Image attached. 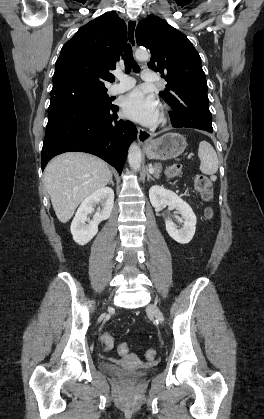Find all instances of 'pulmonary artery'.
Listing matches in <instances>:
<instances>
[{
    "label": "pulmonary artery",
    "mask_w": 264,
    "mask_h": 419,
    "mask_svg": "<svg viewBox=\"0 0 264 419\" xmlns=\"http://www.w3.org/2000/svg\"><path fill=\"white\" fill-rule=\"evenodd\" d=\"M141 76L144 81H147V82L155 81V73L152 70L145 69L142 72ZM117 79H118V83L110 87L111 94H118V93L125 92L131 89L135 84V80L132 77L127 76L122 73L117 74Z\"/></svg>",
    "instance_id": "pulmonary-artery-1"
}]
</instances>
